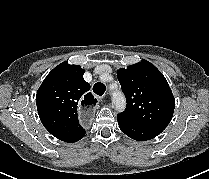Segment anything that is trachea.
Listing matches in <instances>:
<instances>
[{
    "label": "trachea",
    "instance_id": "1",
    "mask_svg": "<svg viewBox=\"0 0 209 179\" xmlns=\"http://www.w3.org/2000/svg\"><path fill=\"white\" fill-rule=\"evenodd\" d=\"M105 90H106V86L103 83L97 82L93 86V91L99 96H102Z\"/></svg>",
    "mask_w": 209,
    "mask_h": 179
}]
</instances>
